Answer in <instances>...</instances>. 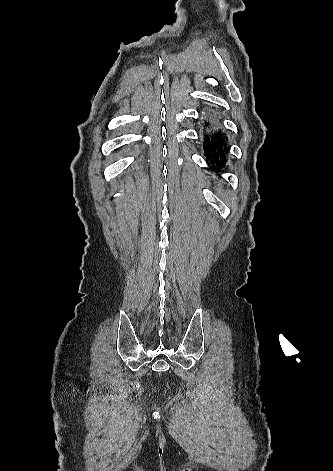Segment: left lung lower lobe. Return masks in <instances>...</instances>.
<instances>
[{"instance_id":"obj_1","label":"left lung lower lobe","mask_w":333,"mask_h":471,"mask_svg":"<svg viewBox=\"0 0 333 471\" xmlns=\"http://www.w3.org/2000/svg\"><path fill=\"white\" fill-rule=\"evenodd\" d=\"M202 127V143L206 161L210 160L216 166L225 164V153L228 147L226 145V138L219 125L213 119L208 118L203 121Z\"/></svg>"}]
</instances>
